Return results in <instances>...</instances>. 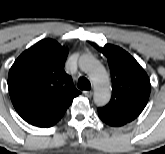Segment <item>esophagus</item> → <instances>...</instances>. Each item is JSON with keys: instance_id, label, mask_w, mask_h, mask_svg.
<instances>
[{"instance_id": "obj_1", "label": "esophagus", "mask_w": 165, "mask_h": 154, "mask_svg": "<svg viewBox=\"0 0 165 154\" xmlns=\"http://www.w3.org/2000/svg\"><path fill=\"white\" fill-rule=\"evenodd\" d=\"M84 94L87 98H91L93 95V92L92 91H85Z\"/></svg>"}]
</instances>
